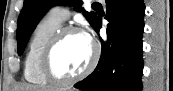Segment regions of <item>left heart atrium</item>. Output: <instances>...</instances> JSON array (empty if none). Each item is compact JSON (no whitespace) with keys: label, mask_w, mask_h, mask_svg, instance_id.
<instances>
[{"label":"left heart atrium","mask_w":173,"mask_h":91,"mask_svg":"<svg viewBox=\"0 0 173 91\" xmlns=\"http://www.w3.org/2000/svg\"><path fill=\"white\" fill-rule=\"evenodd\" d=\"M88 40L90 39L88 35L85 36Z\"/></svg>","instance_id":"left-heart-atrium-1"}]
</instances>
